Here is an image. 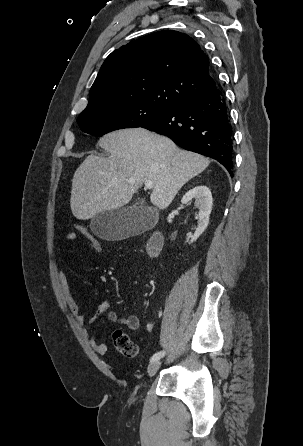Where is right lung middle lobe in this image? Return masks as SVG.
<instances>
[{
	"mask_svg": "<svg viewBox=\"0 0 303 446\" xmlns=\"http://www.w3.org/2000/svg\"><path fill=\"white\" fill-rule=\"evenodd\" d=\"M170 108L145 102L115 103L84 110L77 122L83 132L102 136L117 129L141 127Z\"/></svg>",
	"mask_w": 303,
	"mask_h": 446,
	"instance_id": "1",
	"label": "right lung middle lobe"
}]
</instances>
